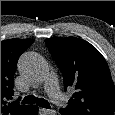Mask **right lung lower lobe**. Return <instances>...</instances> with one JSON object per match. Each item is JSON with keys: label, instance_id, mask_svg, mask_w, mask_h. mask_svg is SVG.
<instances>
[{"label": "right lung lower lobe", "instance_id": "1", "mask_svg": "<svg viewBox=\"0 0 115 115\" xmlns=\"http://www.w3.org/2000/svg\"><path fill=\"white\" fill-rule=\"evenodd\" d=\"M37 113H38V107L32 105L28 115H37Z\"/></svg>", "mask_w": 115, "mask_h": 115}]
</instances>
